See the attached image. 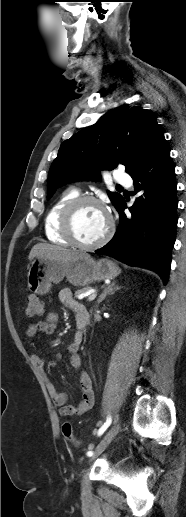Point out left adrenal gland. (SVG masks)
<instances>
[{
  "mask_svg": "<svg viewBox=\"0 0 186 517\" xmlns=\"http://www.w3.org/2000/svg\"><path fill=\"white\" fill-rule=\"evenodd\" d=\"M115 284L116 282L114 281L103 290V293L99 296L97 300V306L106 298L107 295H112L116 291L121 289V286H116Z\"/></svg>",
  "mask_w": 186,
  "mask_h": 517,
  "instance_id": "left-adrenal-gland-1",
  "label": "left adrenal gland"
}]
</instances>
